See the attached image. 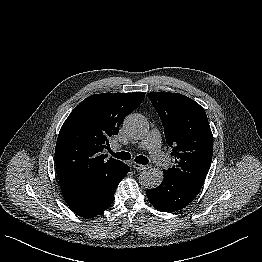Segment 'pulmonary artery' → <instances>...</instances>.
Instances as JSON below:
<instances>
[{
  "label": "pulmonary artery",
  "mask_w": 262,
  "mask_h": 262,
  "mask_svg": "<svg viewBox=\"0 0 262 262\" xmlns=\"http://www.w3.org/2000/svg\"><path fill=\"white\" fill-rule=\"evenodd\" d=\"M160 142L161 137L159 131L153 129L146 139L139 144V148L148 150L152 159L158 164L166 160V155L160 150ZM118 148V146L115 147V149Z\"/></svg>",
  "instance_id": "1"
}]
</instances>
